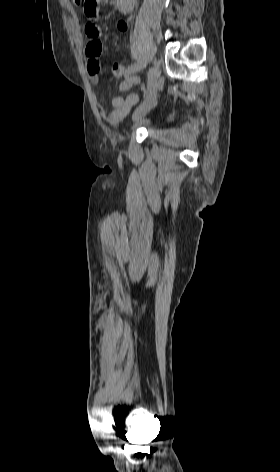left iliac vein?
Segmentation results:
<instances>
[{
  "label": "left iliac vein",
  "instance_id": "obj_1",
  "mask_svg": "<svg viewBox=\"0 0 280 472\" xmlns=\"http://www.w3.org/2000/svg\"><path fill=\"white\" fill-rule=\"evenodd\" d=\"M159 71L156 67H151L147 75V92L143 103L133 114L134 120L142 119L154 106L157 98Z\"/></svg>",
  "mask_w": 280,
  "mask_h": 472
}]
</instances>
